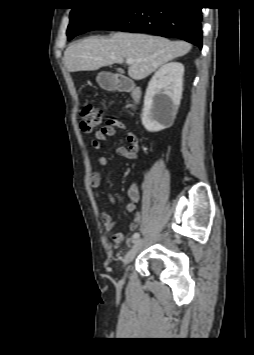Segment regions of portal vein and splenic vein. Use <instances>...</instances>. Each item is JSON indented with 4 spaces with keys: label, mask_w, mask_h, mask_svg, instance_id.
Here are the masks:
<instances>
[{
    "label": "portal vein and splenic vein",
    "mask_w": 254,
    "mask_h": 355,
    "mask_svg": "<svg viewBox=\"0 0 254 355\" xmlns=\"http://www.w3.org/2000/svg\"><path fill=\"white\" fill-rule=\"evenodd\" d=\"M135 62V60L134 59H132V58H128V59H126V63L127 64H133Z\"/></svg>",
    "instance_id": "portal-vein-and-splenic-vein-1"
}]
</instances>
